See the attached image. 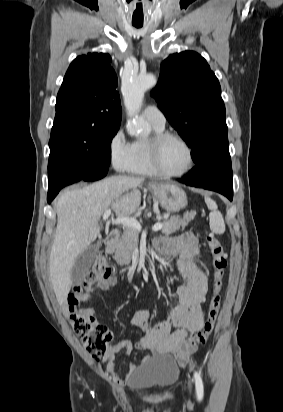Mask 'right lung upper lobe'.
Returning <instances> with one entry per match:
<instances>
[{"instance_id": "obj_1", "label": "right lung upper lobe", "mask_w": 283, "mask_h": 412, "mask_svg": "<svg viewBox=\"0 0 283 412\" xmlns=\"http://www.w3.org/2000/svg\"><path fill=\"white\" fill-rule=\"evenodd\" d=\"M108 54L89 53L70 64L57 95L56 116H78L101 130L119 129L117 76Z\"/></svg>"}]
</instances>
